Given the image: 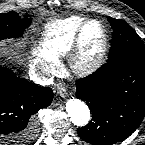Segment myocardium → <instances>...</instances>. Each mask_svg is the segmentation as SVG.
<instances>
[{
	"label": "myocardium",
	"instance_id": "myocardium-1",
	"mask_svg": "<svg viewBox=\"0 0 145 145\" xmlns=\"http://www.w3.org/2000/svg\"><path fill=\"white\" fill-rule=\"evenodd\" d=\"M90 24H97L100 27L103 40L97 56L94 59L85 60L83 35L85 29ZM108 51H109V35L105 26L102 24V22L96 19H88L79 26L76 32L73 47L69 53L68 58L69 68L71 72L77 76L80 77L88 76L96 72L104 64Z\"/></svg>",
	"mask_w": 145,
	"mask_h": 145
}]
</instances>
